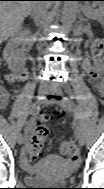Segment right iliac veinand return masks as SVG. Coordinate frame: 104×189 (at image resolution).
Listing matches in <instances>:
<instances>
[{"label":"right iliac vein","instance_id":"1","mask_svg":"<svg viewBox=\"0 0 104 189\" xmlns=\"http://www.w3.org/2000/svg\"><path fill=\"white\" fill-rule=\"evenodd\" d=\"M47 93H48V90H46V89H42V90L39 91V95L37 97V103L38 104L42 103V101L45 98V95ZM23 142H24V139H23L22 135L18 134V136H17V143L21 145V144H23Z\"/></svg>","mask_w":104,"mask_h":189}]
</instances>
